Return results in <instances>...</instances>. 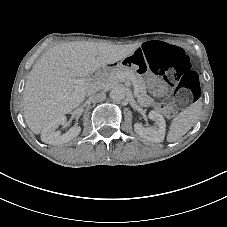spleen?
Segmentation results:
<instances>
[{"instance_id": "spleen-1", "label": "spleen", "mask_w": 227, "mask_h": 227, "mask_svg": "<svg viewBox=\"0 0 227 227\" xmlns=\"http://www.w3.org/2000/svg\"><path fill=\"white\" fill-rule=\"evenodd\" d=\"M201 102L192 104L184 111L180 112L173 120L167 135L168 142H175L185 135L198 120L201 112Z\"/></svg>"}]
</instances>
